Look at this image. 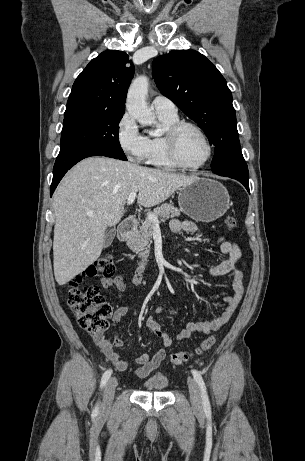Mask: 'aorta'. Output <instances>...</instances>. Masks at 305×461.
Masks as SVG:
<instances>
[{
    "mask_svg": "<svg viewBox=\"0 0 305 461\" xmlns=\"http://www.w3.org/2000/svg\"><path fill=\"white\" fill-rule=\"evenodd\" d=\"M148 86V78L139 76L133 80L127 94L126 109L141 125L156 123L155 115L146 102Z\"/></svg>",
    "mask_w": 305,
    "mask_h": 461,
    "instance_id": "obj_1",
    "label": "aorta"
}]
</instances>
